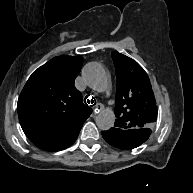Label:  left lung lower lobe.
Wrapping results in <instances>:
<instances>
[{
  "instance_id": "1",
  "label": "left lung lower lobe",
  "mask_w": 193,
  "mask_h": 193,
  "mask_svg": "<svg viewBox=\"0 0 193 193\" xmlns=\"http://www.w3.org/2000/svg\"><path fill=\"white\" fill-rule=\"evenodd\" d=\"M151 133L150 129L128 132L119 128L102 131L103 138L112 146L120 149H133L144 143Z\"/></svg>"
}]
</instances>
